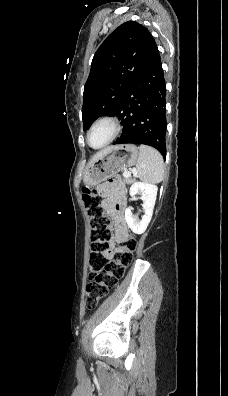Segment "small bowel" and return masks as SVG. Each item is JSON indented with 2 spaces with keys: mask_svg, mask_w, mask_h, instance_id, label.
<instances>
[{
  "mask_svg": "<svg viewBox=\"0 0 228 396\" xmlns=\"http://www.w3.org/2000/svg\"><path fill=\"white\" fill-rule=\"evenodd\" d=\"M101 196L105 199V206L111 211L118 238L127 236V224L123 216V199L125 189L119 178H114L109 183L98 186ZM112 245V244H111ZM113 249L109 253H112Z\"/></svg>",
  "mask_w": 228,
  "mask_h": 396,
  "instance_id": "1",
  "label": "small bowel"
}]
</instances>
